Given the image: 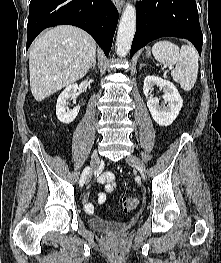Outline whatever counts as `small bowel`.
Instances as JSON below:
<instances>
[{
  "instance_id": "obj_1",
  "label": "small bowel",
  "mask_w": 221,
  "mask_h": 263,
  "mask_svg": "<svg viewBox=\"0 0 221 263\" xmlns=\"http://www.w3.org/2000/svg\"><path fill=\"white\" fill-rule=\"evenodd\" d=\"M97 183L103 187V191L97 193L96 201L90 200L89 195L83 198L85 210L89 213L95 211V204H104L107 199V194L112 193L116 186V178L112 172H104L97 177Z\"/></svg>"
}]
</instances>
